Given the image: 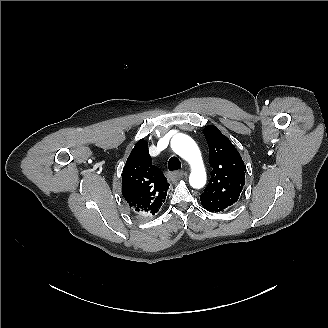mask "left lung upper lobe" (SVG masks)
I'll return each mask as SVG.
<instances>
[{"label": "left lung upper lobe", "mask_w": 328, "mask_h": 328, "mask_svg": "<svg viewBox=\"0 0 328 328\" xmlns=\"http://www.w3.org/2000/svg\"><path fill=\"white\" fill-rule=\"evenodd\" d=\"M211 179L203 194L202 205L209 212H220L239 199L245 183L246 166L231 141L215 126H206Z\"/></svg>", "instance_id": "1"}]
</instances>
